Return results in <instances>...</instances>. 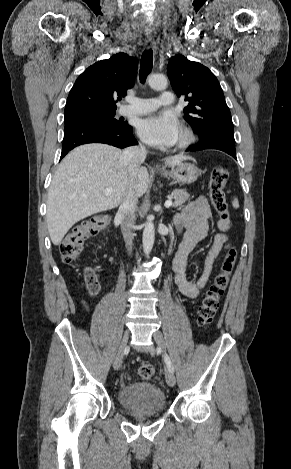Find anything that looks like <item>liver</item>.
Returning a JSON list of instances; mask_svg holds the SVG:
<instances>
[{"label":"liver","mask_w":291,"mask_h":469,"mask_svg":"<svg viewBox=\"0 0 291 469\" xmlns=\"http://www.w3.org/2000/svg\"><path fill=\"white\" fill-rule=\"evenodd\" d=\"M123 152L106 144H86L72 150L60 163L52 179L46 221L51 241L59 245L69 229L93 214L113 209L134 192L141 197L148 189L149 173L139 166L135 175L124 163ZM188 156L165 159L175 167ZM107 188L112 194L105 195Z\"/></svg>","instance_id":"1"}]
</instances>
